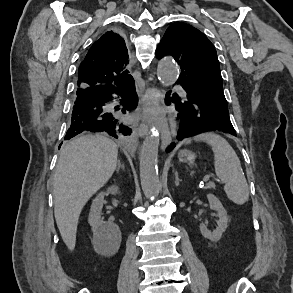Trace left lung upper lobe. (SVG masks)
Returning <instances> with one entry per match:
<instances>
[{
  "instance_id": "left-lung-upper-lobe-1",
  "label": "left lung upper lobe",
  "mask_w": 293,
  "mask_h": 293,
  "mask_svg": "<svg viewBox=\"0 0 293 293\" xmlns=\"http://www.w3.org/2000/svg\"><path fill=\"white\" fill-rule=\"evenodd\" d=\"M158 58L173 56L181 66L177 84L208 105L227 108L216 50L193 26L175 22L166 30L156 51Z\"/></svg>"
}]
</instances>
